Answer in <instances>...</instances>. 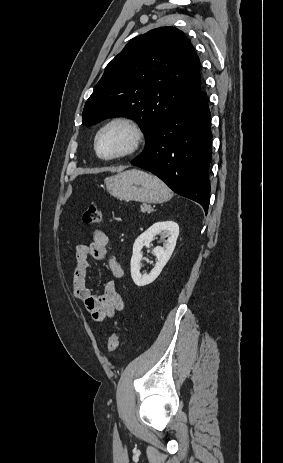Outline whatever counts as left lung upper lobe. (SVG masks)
<instances>
[{
    "instance_id": "left-lung-upper-lobe-1",
    "label": "left lung upper lobe",
    "mask_w": 283,
    "mask_h": 463,
    "mask_svg": "<svg viewBox=\"0 0 283 463\" xmlns=\"http://www.w3.org/2000/svg\"><path fill=\"white\" fill-rule=\"evenodd\" d=\"M200 61L184 33L162 27L133 38L106 66L83 110V124L125 115L146 142L158 126L200 89Z\"/></svg>"
}]
</instances>
